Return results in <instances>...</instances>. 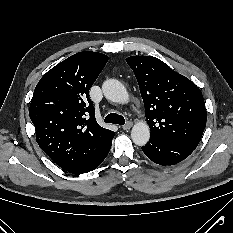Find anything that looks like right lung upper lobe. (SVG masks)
I'll return each instance as SVG.
<instances>
[{"mask_svg": "<svg viewBox=\"0 0 233 233\" xmlns=\"http://www.w3.org/2000/svg\"><path fill=\"white\" fill-rule=\"evenodd\" d=\"M108 61L79 52L49 70L35 87L30 118L41 149L64 170L79 167L112 143L115 133L98 125L89 90Z\"/></svg>", "mask_w": 233, "mask_h": 233, "instance_id": "1", "label": "right lung upper lobe"}]
</instances>
